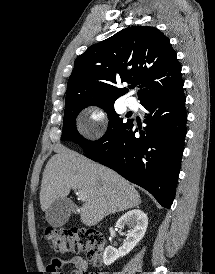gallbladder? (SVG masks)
I'll return each mask as SVG.
<instances>
[{"label": "gallbladder", "instance_id": "gallbladder-1", "mask_svg": "<svg viewBox=\"0 0 215 274\" xmlns=\"http://www.w3.org/2000/svg\"><path fill=\"white\" fill-rule=\"evenodd\" d=\"M78 211L77 206L68 198L56 199L45 211V219L53 227L63 226L71 213Z\"/></svg>", "mask_w": 215, "mask_h": 274}]
</instances>
